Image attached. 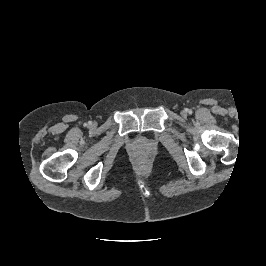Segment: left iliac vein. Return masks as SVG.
<instances>
[{"label":"left iliac vein","instance_id":"1","mask_svg":"<svg viewBox=\"0 0 266 266\" xmlns=\"http://www.w3.org/2000/svg\"><path fill=\"white\" fill-rule=\"evenodd\" d=\"M182 117H186L187 113L185 111L181 112Z\"/></svg>","mask_w":266,"mask_h":266}]
</instances>
